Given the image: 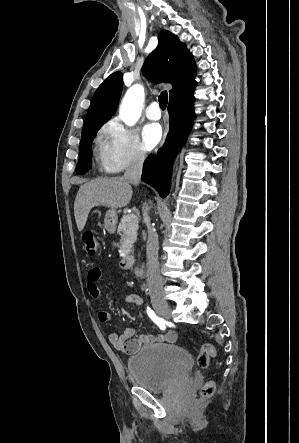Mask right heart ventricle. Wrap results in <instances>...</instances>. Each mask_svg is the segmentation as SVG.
<instances>
[{"label": "right heart ventricle", "mask_w": 299, "mask_h": 443, "mask_svg": "<svg viewBox=\"0 0 299 443\" xmlns=\"http://www.w3.org/2000/svg\"><path fill=\"white\" fill-rule=\"evenodd\" d=\"M96 157H97V161H98V163H99L101 168H103L106 171H111L109 166H108V163L106 161L104 144L102 142H100L97 145Z\"/></svg>", "instance_id": "right-heart-ventricle-1"}]
</instances>
